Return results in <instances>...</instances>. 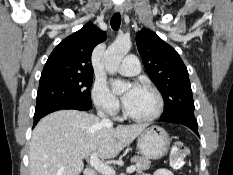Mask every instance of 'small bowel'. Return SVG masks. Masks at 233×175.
Returning <instances> with one entry per match:
<instances>
[{
    "mask_svg": "<svg viewBox=\"0 0 233 175\" xmlns=\"http://www.w3.org/2000/svg\"><path fill=\"white\" fill-rule=\"evenodd\" d=\"M139 175H150L148 173H141ZM154 175H174L170 170L168 169H159L158 171L155 172Z\"/></svg>",
    "mask_w": 233,
    "mask_h": 175,
    "instance_id": "small-bowel-1",
    "label": "small bowel"
}]
</instances>
